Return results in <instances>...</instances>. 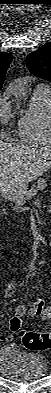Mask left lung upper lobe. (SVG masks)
I'll return each mask as SVG.
<instances>
[{"instance_id": "left-lung-upper-lobe-1", "label": "left lung upper lobe", "mask_w": 51, "mask_h": 393, "mask_svg": "<svg viewBox=\"0 0 51 393\" xmlns=\"http://www.w3.org/2000/svg\"><path fill=\"white\" fill-rule=\"evenodd\" d=\"M29 71L37 77L51 81V42L31 52L26 59Z\"/></svg>"}]
</instances>
